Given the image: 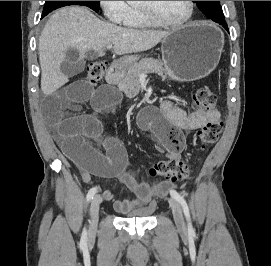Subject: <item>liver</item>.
Instances as JSON below:
<instances>
[{
    "label": "liver",
    "mask_w": 271,
    "mask_h": 266,
    "mask_svg": "<svg viewBox=\"0 0 271 266\" xmlns=\"http://www.w3.org/2000/svg\"><path fill=\"white\" fill-rule=\"evenodd\" d=\"M169 31L123 28L101 21L88 8L70 6L57 10L47 21L39 39L41 89L50 95L68 82L60 66L69 49L84 58L90 51L104 55L113 45L117 55L147 51L155 47Z\"/></svg>",
    "instance_id": "obj_1"
}]
</instances>
